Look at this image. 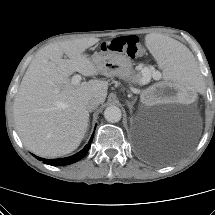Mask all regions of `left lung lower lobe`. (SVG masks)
Returning <instances> with one entry per match:
<instances>
[{
    "instance_id": "0a47b994",
    "label": "left lung lower lobe",
    "mask_w": 215,
    "mask_h": 215,
    "mask_svg": "<svg viewBox=\"0 0 215 215\" xmlns=\"http://www.w3.org/2000/svg\"><path fill=\"white\" fill-rule=\"evenodd\" d=\"M144 152L150 157H157L161 153L160 148H144Z\"/></svg>"
}]
</instances>
